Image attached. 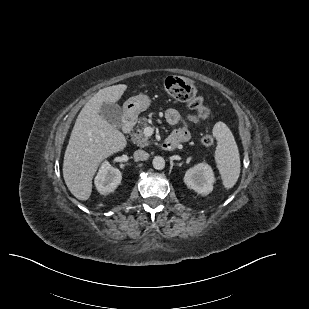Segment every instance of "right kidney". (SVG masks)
<instances>
[{
	"label": "right kidney",
	"mask_w": 309,
	"mask_h": 309,
	"mask_svg": "<svg viewBox=\"0 0 309 309\" xmlns=\"http://www.w3.org/2000/svg\"><path fill=\"white\" fill-rule=\"evenodd\" d=\"M122 175L118 168L111 166L107 161L102 163L95 177V186L99 193L113 192L121 183Z\"/></svg>",
	"instance_id": "obj_1"
}]
</instances>
